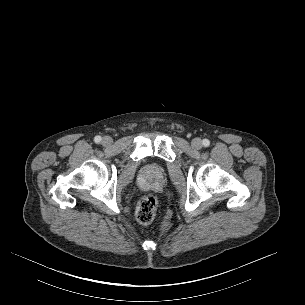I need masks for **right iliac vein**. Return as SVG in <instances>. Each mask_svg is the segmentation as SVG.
<instances>
[{
  "instance_id": "obj_1",
  "label": "right iliac vein",
  "mask_w": 305,
  "mask_h": 305,
  "mask_svg": "<svg viewBox=\"0 0 305 305\" xmlns=\"http://www.w3.org/2000/svg\"><path fill=\"white\" fill-rule=\"evenodd\" d=\"M102 143L105 145V146H109L112 144V138L109 137V136H105L103 137L102 139Z\"/></svg>"
}]
</instances>
